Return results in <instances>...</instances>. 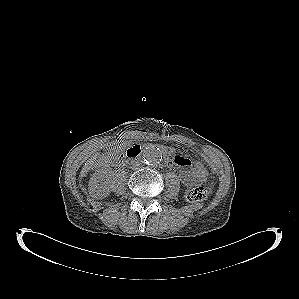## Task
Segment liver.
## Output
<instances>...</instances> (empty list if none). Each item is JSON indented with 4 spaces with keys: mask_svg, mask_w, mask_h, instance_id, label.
Returning <instances> with one entry per match:
<instances>
[{
    "mask_svg": "<svg viewBox=\"0 0 299 299\" xmlns=\"http://www.w3.org/2000/svg\"><path fill=\"white\" fill-rule=\"evenodd\" d=\"M96 158H97V155H94V156H92V157L87 161V163L85 164V166L83 167V169H82V171H81V175H80V177H84L85 174H86L90 169H92V167L95 165Z\"/></svg>",
    "mask_w": 299,
    "mask_h": 299,
    "instance_id": "obj_1",
    "label": "liver"
}]
</instances>
